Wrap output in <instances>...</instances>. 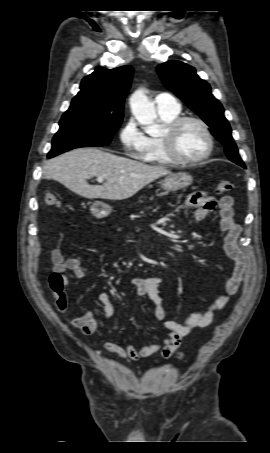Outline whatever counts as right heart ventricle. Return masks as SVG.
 Listing matches in <instances>:
<instances>
[{"mask_svg":"<svg viewBox=\"0 0 270 453\" xmlns=\"http://www.w3.org/2000/svg\"><path fill=\"white\" fill-rule=\"evenodd\" d=\"M180 111L174 113H159L161 121L167 125L173 119L179 116ZM142 162L157 164V165H170L173 163L164 153L159 137H148L147 146L144 152L139 156Z\"/></svg>","mask_w":270,"mask_h":453,"instance_id":"e07e8e85","label":"right heart ventricle"}]
</instances>
